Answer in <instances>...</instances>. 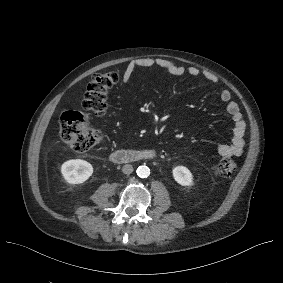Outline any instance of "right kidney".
Instances as JSON below:
<instances>
[{
    "mask_svg": "<svg viewBox=\"0 0 283 283\" xmlns=\"http://www.w3.org/2000/svg\"><path fill=\"white\" fill-rule=\"evenodd\" d=\"M61 173L69 184H81L92 175L93 167L85 160L72 159L62 164Z\"/></svg>",
    "mask_w": 283,
    "mask_h": 283,
    "instance_id": "obj_1",
    "label": "right kidney"
}]
</instances>
